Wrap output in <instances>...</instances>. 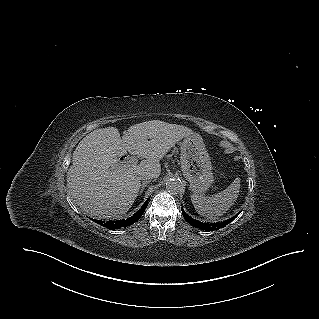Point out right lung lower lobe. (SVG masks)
Segmentation results:
<instances>
[{"mask_svg":"<svg viewBox=\"0 0 319 319\" xmlns=\"http://www.w3.org/2000/svg\"><path fill=\"white\" fill-rule=\"evenodd\" d=\"M148 205V201H146L143 206L141 207V209L139 211H137L133 216L127 218V219H122V220H116V221H100V220H94L96 223L109 228V229H119L122 227H127L130 226L132 224H134L144 213L146 207Z\"/></svg>","mask_w":319,"mask_h":319,"instance_id":"98d812e1","label":"right lung lower lobe"}]
</instances>
